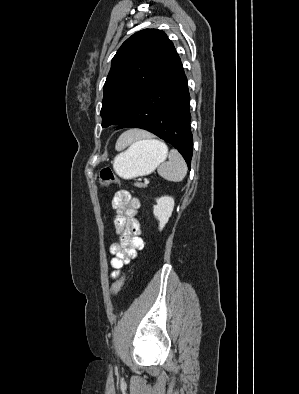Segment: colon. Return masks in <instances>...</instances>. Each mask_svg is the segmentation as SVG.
I'll use <instances>...</instances> for the list:
<instances>
[{
	"instance_id": "1",
	"label": "colon",
	"mask_w": 299,
	"mask_h": 394,
	"mask_svg": "<svg viewBox=\"0 0 299 394\" xmlns=\"http://www.w3.org/2000/svg\"><path fill=\"white\" fill-rule=\"evenodd\" d=\"M100 182L103 186H110L112 184L119 183V179L111 168H103L100 171ZM124 279H125L124 273L116 277L111 288V293L113 296H115L120 291L124 283Z\"/></svg>"
}]
</instances>
